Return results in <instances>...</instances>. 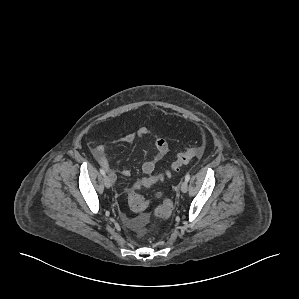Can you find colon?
I'll use <instances>...</instances> for the list:
<instances>
[{
  "label": "colon",
  "mask_w": 299,
  "mask_h": 299,
  "mask_svg": "<svg viewBox=\"0 0 299 299\" xmlns=\"http://www.w3.org/2000/svg\"><path fill=\"white\" fill-rule=\"evenodd\" d=\"M203 153V147H191L185 150L184 152H181L177 155V158L175 161L171 164L170 168L166 170L165 172L144 177L142 179H139L132 187V189L129 191L128 194V204L130 208L135 212L143 211L147 205L148 202L140 195L139 190L142 188H147L155 185L158 182L163 181L164 179L171 176L172 172L178 171L181 166L189 163L194 158L200 156ZM158 197H160V194H157ZM173 210V204L169 199H164L163 203L157 207L155 210V215L159 217L160 219H166L168 218ZM139 233H143V229L138 230Z\"/></svg>",
  "instance_id": "colon-1"
}]
</instances>
